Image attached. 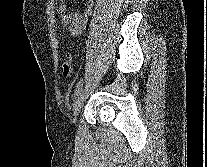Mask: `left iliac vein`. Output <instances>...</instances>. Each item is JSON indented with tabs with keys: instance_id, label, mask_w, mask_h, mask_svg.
Masks as SVG:
<instances>
[{
	"instance_id": "4c4485c4",
	"label": "left iliac vein",
	"mask_w": 207,
	"mask_h": 167,
	"mask_svg": "<svg viewBox=\"0 0 207 167\" xmlns=\"http://www.w3.org/2000/svg\"><path fill=\"white\" fill-rule=\"evenodd\" d=\"M84 96H85V91H84V89H81L79 94L76 96L75 101H74V105H73V114H74L75 118L77 117V115L79 114V112L81 110Z\"/></svg>"
}]
</instances>
